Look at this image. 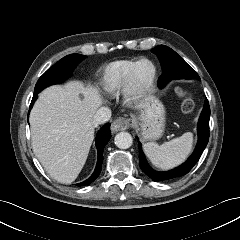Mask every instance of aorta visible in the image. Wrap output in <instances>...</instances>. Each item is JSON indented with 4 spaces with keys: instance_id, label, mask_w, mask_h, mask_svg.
Wrapping results in <instances>:
<instances>
[{
    "instance_id": "1",
    "label": "aorta",
    "mask_w": 240,
    "mask_h": 240,
    "mask_svg": "<svg viewBox=\"0 0 240 240\" xmlns=\"http://www.w3.org/2000/svg\"><path fill=\"white\" fill-rule=\"evenodd\" d=\"M115 145L120 149H127L131 147L133 138L128 132H120L115 136Z\"/></svg>"
}]
</instances>
